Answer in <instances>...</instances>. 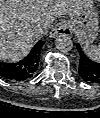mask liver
<instances>
[{
	"instance_id": "1",
	"label": "liver",
	"mask_w": 100,
	"mask_h": 118,
	"mask_svg": "<svg viewBox=\"0 0 100 118\" xmlns=\"http://www.w3.org/2000/svg\"><path fill=\"white\" fill-rule=\"evenodd\" d=\"M85 0H0V58L16 62L25 57L34 41L37 23L60 15L74 16Z\"/></svg>"
}]
</instances>
